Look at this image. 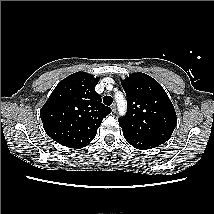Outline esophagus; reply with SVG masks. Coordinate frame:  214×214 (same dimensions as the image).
<instances>
[{
	"label": "esophagus",
	"mask_w": 214,
	"mask_h": 214,
	"mask_svg": "<svg viewBox=\"0 0 214 214\" xmlns=\"http://www.w3.org/2000/svg\"><path fill=\"white\" fill-rule=\"evenodd\" d=\"M111 109H112V112H116L117 108H116V104H112L111 105Z\"/></svg>",
	"instance_id": "esophagus-1"
}]
</instances>
